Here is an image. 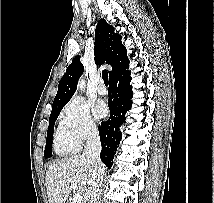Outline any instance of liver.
Instances as JSON below:
<instances>
[{"label": "liver", "instance_id": "obj_1", "mask_svg": "<svg viewBox=\"0 0 214 203\" xmlns=\"http://www.w3.org/2000/svg\"><path fill=\"white\" fill-rule=\"evenodd\" d=\"M90 166L86 158L77 155L51 164L46 172L49 203H65L71 193V182L78 185L83 203L90 186Z\"/></svg>", "mask_w": 214, "mask_h": 203}]
</instances>
